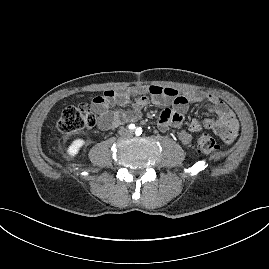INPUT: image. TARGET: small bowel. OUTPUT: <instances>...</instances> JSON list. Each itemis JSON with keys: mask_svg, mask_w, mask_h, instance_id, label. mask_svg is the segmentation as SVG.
Here are the masks:
<instances>
[{"mask_svg": "<svg viewBox=\"0 0 269 269\" xmlns=\"http://www.w3.org/2000/svg\"><path fill=\"white\" fill-rule=\"evenodd\" d=\"M190 103L204 105L211 117L191 120L187 131L182 127ZM149 104L170 106L162 111L158 128L161 131L177 128L179 140L185 145L191 143V133L203 129L212 130L227 144L232 143L238 135V121L229 107L216 96L202 92L181 94L174 88L155 85L108 89L92 100V109L99 115V128L110 130L123 123L136 121L141 110ZM126 105H131L132 108L124 112L112 110L114 106Z\"/></svg>", "mask_w": 269, "mask_h": 269, "instance_id": "small-bowel-1", "label": "small bowel"}]
</instances>
